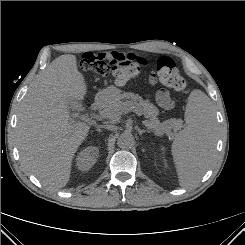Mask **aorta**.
Instances as JSON below:
<instances>
[{
	"mask_svg": "<svg viewBox=\"0 0 245 245\" xmlns=\"http://www.w3.org/2000/svg\"><path fill=\"white\" fill-rule=\"evenodd\" d=\"M117 145L122 149H129L134 145V137L130 133H122L117 139Z\"/></svg>",
	"mask_w": 245,
	"mask_h": 245,
	"instance_id": "obj_1",
	"label": "aorta"
}]
</instances>
